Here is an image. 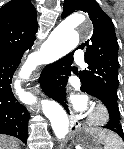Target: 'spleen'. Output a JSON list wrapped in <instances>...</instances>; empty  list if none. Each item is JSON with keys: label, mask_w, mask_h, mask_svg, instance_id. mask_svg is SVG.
Wrapping results in <instances>:
<instances>
[{"label": "spleen", "mask_w": 124, "mask_h": 149, "mask_svg": "<svg viewBox=\"0 0 124 149\" xmlns=\"http://www.w3.org/2000/svg\"><path fill=\"white\" fill-rule=\"evenodd\" d=\"M116 136V135H115ZM104 141V149H120V140L116 138H102Z\"/></svg>", "instance_id": "obj_1"}]
</instances>
